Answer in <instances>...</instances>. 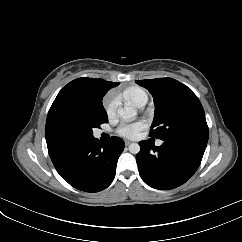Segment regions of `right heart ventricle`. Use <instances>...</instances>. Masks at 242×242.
Segmentation results:
<instances>
[{"instance_id":"e07e8e85","label":"right heart ventricle","mask_w":242,"mask_h":242,"mask_svg":"<svg viewBox=\"0 0 242 242\" xmlns=\"http://www.w3.org/2000/svg\"><path fill=\"white\" fill-rule=\"evenodd\" d=\"M122 97L130 101L137 107H139L141 104H146L148 100V95L146 91L137 86L130 87L123 91Z\"/></svg>"}]
</instances>
